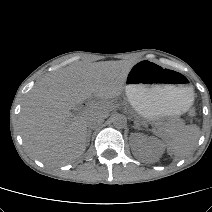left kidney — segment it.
<instances>
[{
	"label": "left kidney",
	"instance_id": "left-kidney-1",
	"mask_svg": "<svg viewBox=\"0 0 212 212\" xmlns=\"http://www.w3.org/2000/svg\"><path fill=\"white\" fill-rule=\"evenodd\" d=\"M138 142V147L135 148V156L143 160H156L162 152L163 146L155 137H147L143 134L135 135Z\"/></svg>",
	"mask_w": 212,
	"mask_h": 212
}]
</instances>
